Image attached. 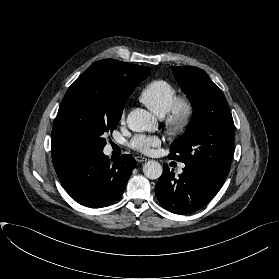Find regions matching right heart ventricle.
Instances as JSON below:
<instances>
[{
    "mask_svg": "<svg viewBox=\"0 0 279 279\" xmlns=\"http://www.w3.org/2000/svg\"><path fill=\"white\" fill-rule=\"evenodd\" d=\"M176 97V88L170 82L162 79L148 83L140 94L141 102L159 117L167 114Z\"/></svg>",
    "mask_w": 279,
    "mask_h": 279,
    "instance_id": "obj_1",
    "label": "right heart ventricle"
}]
</instances>
